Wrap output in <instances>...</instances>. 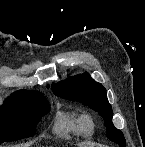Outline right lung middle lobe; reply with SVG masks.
<instances>
[{"label": "right lung middle lobe", "mask_w": 145, "mask_h": 147, "mask_svg": "<svg viewBox=\"0 0 145 147\" xmlns=\"http://www.w3.org/2000/svg\"><path fill=\"white\" fill-rule=\"evenodd\" d=\"M49 107L41 92L14 93L0 107V143L35 135L36 125Z\"/></svg>", "instance_id": "dd1d6c3e"}]
</instances>
